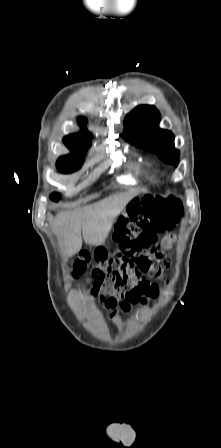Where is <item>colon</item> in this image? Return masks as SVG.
<instances>
[{
    "label": "colon",
    "instance_id": "5ec220e1",
    "mask_svg": "<svg viewBox=\"0 0 221 448\" xmlns=\"http://www.w3.org/2000/svg\"><path fill=\"white\" fill-rule=\"evenodd\" d=\"M183 215V205L174 196L146 195L133 202L129 216L120 217L116 240L126 255L98 248L93 253L81 252L72 264V272L86 271L91 260L92 291L120 290L131 303H145L157 293L145 275L162 279L170 268V261L160 251L157 233L175 226Z\"/></svg>",
    "mask_w": 221,
    "mask_h": 448
}]
</instances>
